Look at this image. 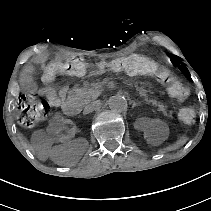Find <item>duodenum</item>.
I'll list each match as a JSON object with an SVG mask.
<instances>
[{
  "instance_id": "obj_1",
  "label": "duodenum",
  "mask_w": 211,
  "mask_h": 211,
  "mask_svg": "<svg viewBox=\"0 0 211 211\" xmlns=\"http://www.w3.org/2000/svg\"><path fill=\"white\" fill-rule=\"evenodd\" d=\"M62 110L65 114L73 116L79 112V105L73 100H66L62 104Z\"/></svg>"
}]
</instances>
